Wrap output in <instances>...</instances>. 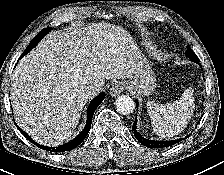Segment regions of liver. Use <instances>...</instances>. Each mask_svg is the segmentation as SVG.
<instances>
[{
	"label": "liver",
	"instance_id": "liver-1",
	"mask_svg": "<svg viewBox=\"0 0 224 175\" xmlns=\"http://www.w3.org/2000/svg\"><path fill=\"white\" fill-rule=\"evenodd\" d=\"M139 59L130 34L110 23L52 32L14 70L11 103L18 126L40 144L63 143L89 99L85 87L136 77Z\"/></svg>",
	"mask_w": 224,
	"mask_h": 175
}]
</instances>
